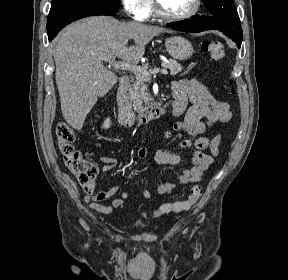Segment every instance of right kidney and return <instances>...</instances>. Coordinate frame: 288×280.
<instances>
[{"label": "right kidney", "mask_w": 288, "mask_h": 280, "mask_svg": "<svg viewBox=\"0 0 288 280\" xmlns=\"http://www.w3.org/2000/svg\"><path fill=\"white\" fill-rule=\"evenodd\" d=\"M105 126L108 127V121H107V123L105 124Z\"/></svg>", "instance_id": "obj_1"}]
</instances>
